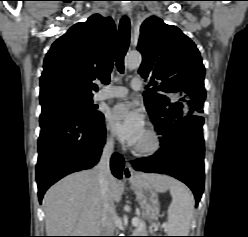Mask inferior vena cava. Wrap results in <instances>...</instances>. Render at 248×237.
I'll list each match as a JSON object with an SVG mask.
<instances>
[{
    "instance_id": "602c4592",
    "label": "inferior vena cava",
    "mask_w": 248,
    "mask_h": 237,
    "mask_svg": "<svg viewBox=\"0 0 248 237\" xmlns=\"http://www.w3.org/2000/svg\"><path fill=\"white\" fill-rule=\"evenodd\" d=\"M113 153V140H107L101 159L96 167L99 176L101 197V223L103 236H114L116 228V211L110 191V158Z\"/></svg>"
}]
</instances>
